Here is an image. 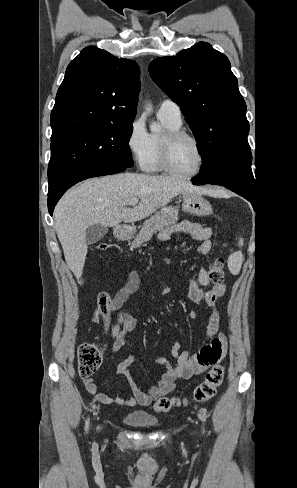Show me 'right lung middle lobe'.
<instances>
[{
	"mask_svg": "<svg viewBox=\"0 0 297 488\" xmlns=\"http://www.w3.org/2000/svg\"><path fill=\"white\" fill-rule=\"evenodd\" d=\"M132 124L82 126L51 136L48 196L93 170L133 166L129 139Z\"/></svg>",
	"mask_w": 297,
	"mask_h": 488,
	"instance_id": "1",
	"label": "right lung middle lobe"
}]
</instances>
